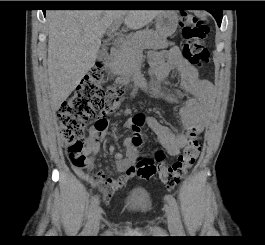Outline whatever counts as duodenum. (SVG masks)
<instances>
[{"label": "duodenum", "instance_id": "410a0bca", "mask_svg": "<svg viewBox=\"0 0 265 245\" xmlns=\"http://www.w3.org/2000/svg\"><path fill=\"white\" fill-rule=\"evenodd\" d=\"M116 58H117V50L116 48L113 47L106 58V64L109 68L113 66V63L116 60Z\"/></svg>", "mask_w": 265, "mask_h": 245}]
</instances>
